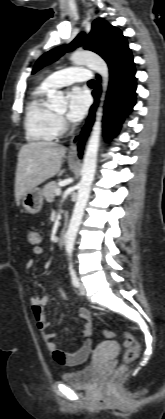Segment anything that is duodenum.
Segmentation results:
<instances>
[{
    "label": "duodenum",
    "instance_id": "duodenum-1",
    "mask_svg": "<svg viewBox=\"0 0 165 419\" xmlns=\"http://www.w3.org/2000/svg\"><path fill=\"white\" fill-rule=\"evenodd\" d=\"M65 238H66V227L63 226L60 231L59 238H58L59 247H62L64 245Z\"/></svg>",
    "mask_w": 165,
    "mask_h": 419
}]
</instances>
